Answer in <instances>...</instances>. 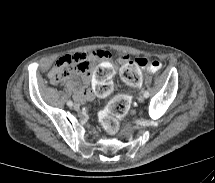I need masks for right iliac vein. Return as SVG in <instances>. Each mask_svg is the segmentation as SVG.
<instances>
[{
	"instance_id": "obj_1",
	"label": "right iliac vein",
	"mask_w": 215,
	"mask_h": 183,
	"mask_svg": "<svg viewBox=\"0 0 215 183\" xmlns=\"http://www.w3.org/2000/svg\"><path fill=\"white\" fill-rule=\"evenodd\" d=\"M73 108H74L76 111H78V110L80 109V105L76 103V104H74Z\"/></svg>"
}]
</instances>
